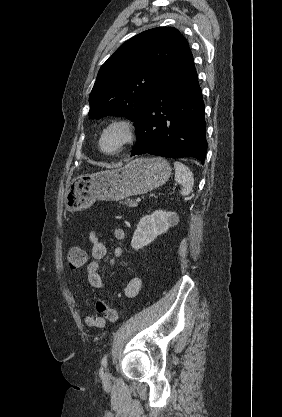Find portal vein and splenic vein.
<instances>
[{"label":"portal vein and splenic vein","mask_w":282,"mask_h":417,"mask_svg":"<svg viewBox=\"0 0 282 417\" xmlns=\"http://www.w3.org/2000/svg\"><path fill=\"white\" fill-rule=\"evenodd\" d=\"M142 200H143V197H140V198H137V199H136V202H137V203H141V202H142Z\"/></svg>","instance_id":"18ae733b"}]
</instances>
